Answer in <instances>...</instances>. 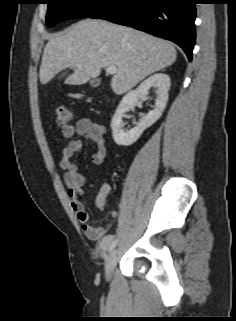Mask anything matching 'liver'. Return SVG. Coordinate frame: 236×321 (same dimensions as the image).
I'll return each instance as SVG.
<instances>
[{
	"mask_svg": "<svg viewBox=\"0 0 236 321\" xmlns=\"http://www.w3.org/2000/svg\"><path fill=\"white\" fill-rule=\"evenodd\" d=\"M177 57L168 41L105 20L85 19L47 42L40 66V82L73 68L65 84L82 85L100 75L101 69L116 66L111 80L114 93L130 91L146 76L172 65Z\"/></svg>",
	"mask_w": 236,
	"mask_h": 321,
	"instance_id": "liver-1",
	"label": "liver"
}]
</instances>
